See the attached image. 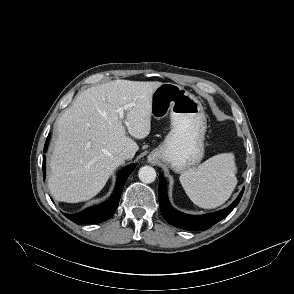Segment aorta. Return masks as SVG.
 Returning <instances> with one entry per match:
<instances>
[{
    "instance_id": "762f6f07",
    "label": "aorta",
    "mask_w": 294,
    "mask_h": 294,
    "mask_svg": "<svg viewBox=\"0 0 294 294\" xmlns=\"http://www.w3.org/2000/svg\"><path fill=\"white\" fill-rule=\"evenodd\" d=\"M139 179L143 183H152L156 179V171L151 166H143L138 172Z\"/></svg>"
}]
</instances>
